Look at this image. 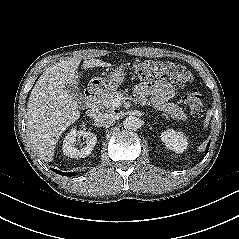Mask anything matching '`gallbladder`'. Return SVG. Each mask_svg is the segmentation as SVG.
I'll return each instance as SVG.
<instances>
[{
  "instance_id": "gallbladder-1",
  "label": "gallbladder",
  "mask_w": 239,
  "mask_h": 239,
  "mask_svg": "<svg viewBox=\"0 0 239 239\" xmlns=\"http://www.w3.org/2000/svg\"><path fill=\"white\" fill-rule=\"evenodd\" d=\"M67 91L70 97L79 105L84 106V98L82 93L80 92L77 85H69L67 86Z\"/></svg>"
}]
</instances>
